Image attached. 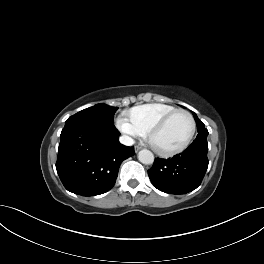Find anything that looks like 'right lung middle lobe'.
I'll return each mask as SVG.
<instances>
[{
    "label": "right lung middle lobe",
    "instance_id": "right-lung-middle-lobe-1",
    "mask_svg": "<svg viewBox=\"0 0 264 264\" xmlns=\"http://www.w3.org/2000/svg\"><path fill=\"white\" fill-rule=\"evenodd\" d=\"M117 109V107H111L106 104H97L70 116L66 120L65 125L75 123L112 128L115 127L113 125V117Z\"/></svg>",
    "mask_w": 264,
    "mask_h": 264
}]
</instances>
